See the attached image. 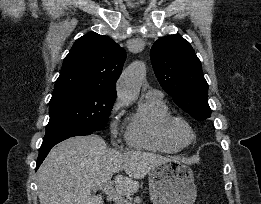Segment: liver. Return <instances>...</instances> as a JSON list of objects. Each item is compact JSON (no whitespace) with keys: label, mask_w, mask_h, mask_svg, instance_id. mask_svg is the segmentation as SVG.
I'll use <instances>...</instances> for the list:
<instances>
[{"label":"liver","mask_w":261,"mask_h":204,"mask_svg":"<svg viewBox=\"0 0 261 204\" xmlns=\"http://www.w3.org/2000/svg\"><path fill=\"white\" fill-rule=\"evenodd\" d=\"M170 158L144 151L120 153L99 135L69 138L54 147L38 170L40 204H104L99 185L115 183L117 193L138 191V179ZM125 171L126 176L115 173Z\"/></svg>","instance_id":"liver-1"}]
</instances>
